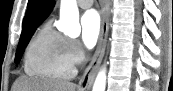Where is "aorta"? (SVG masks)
Segmentation results:
<instances>
[{"instance_id":"762f6f07","label":"aorta","mask_w":173,"mask_h":91,"mask_svg":"<svg viewBox=\"0 0 173 91\" xmlns=\"http://www.w3.org/2000/svg\"><path fill=\"white\" fill-rule=\"evenodd\" d=\"M59 29L70 37L80 34L79 11L76 0H61ZM106 70L102 69L94 82L92 91H105Z\"/></svg>"}]
</instances>
